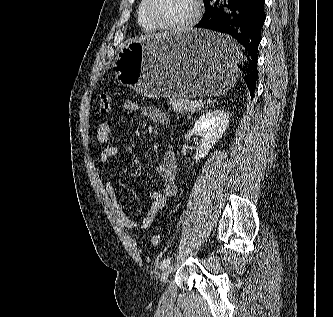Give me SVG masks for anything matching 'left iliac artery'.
Returning <instances> with one entry per match:
<instances>
[{"label": "left iliac artery", "instance_id": "44dca946", "mask_svg": "<svg viewBox=\"0 0 333 317\" xmlns=\"http://www.w3.org/2000/svg\"><path fill=\"white\" fill-rule=\"evenodd\" d=\"M170 264V259L169 258H165L162 262H161V268L164 269L165 267H167Z\"/></svg>", "mask_w": 333, "mask_h": 317}]
</instances>
